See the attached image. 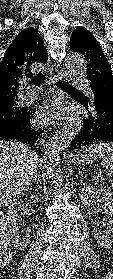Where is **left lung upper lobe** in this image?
I'll return each instance as SVG.
<instances>
[{
	"instance_id": "1",
	"label": "left lung upper lobe",
	"mask_w": 113,
	"mask_h": 279,
	"mask_svg": "<svg viewBox=\"0 0 113 279\" xmlns=\"http://www.w3.org/2000/svg\"><path fill=\"white\" fill-rule=\"evenodd\" d=\"M70 48L84 55L88 62L87 79L90 86L113 95V74L96 38L85 28L78 27L71 34Z\"/></svg>"
}]
</instances>
